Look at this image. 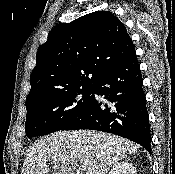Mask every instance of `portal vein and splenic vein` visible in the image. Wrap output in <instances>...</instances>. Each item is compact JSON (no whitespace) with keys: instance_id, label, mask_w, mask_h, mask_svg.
<instances>
[{"instance_id":"portal-vein-and-splenic-vein-1","label":"portal vein and splenic vein","mask_w":175,"mask_h":174,"mask_svg":"<svg viewBox=\"0 0 175 174\" xmlns=\"http://www.w3.org/2000/svg\"><path fill=\"white\" fill-rule=\"evenodd\" d=\"M87 166L85 164L82 165V171H86Z\"/></svg>"}]
</instances>
